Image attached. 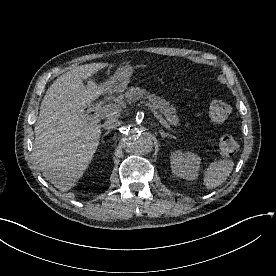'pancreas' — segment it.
Masks as SVG:
<instances>
[{"instance_id": "obj_1", "label": "pancreas", "mask_w": 276, "mask_h": 276, "mask_svg": "<svg viewBox=\"0 0 276 276\" xmlns=\"http://www.w3.org/2000/svg\"><path fill=\"white\" fill-rule=\"evenodd\" d=\"M127 103L131 104L137 101L148 100L155 109L161 112L170 125L177 126L179 124V118L176 115L175 108L162 99L161 97L147 92L146 89H140L139 87H131L124 94Z\"/></svg>"}]
</instances>
